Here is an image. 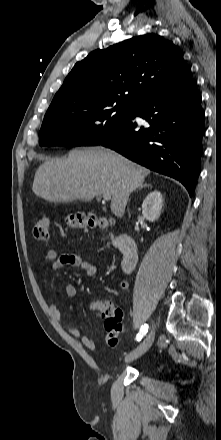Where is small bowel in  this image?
<instances>
[{
    "label": "small bowel",
    "mask_w": 221,
    "mask_h": 440,
    "mask_svg": "<svg viewBox=\"0 0 221 440\" xmlns=\"http://www.w3.org/2000/svg\"><path fill=\"white\" fill-rule=\"evenodd\" d=\"M42 261L49 263L52 269H60L67 266L80 268L85 275L89 277L94 276L97 271L96 265L92 261L86 260L77 254L58 255L54 249H48L43 255ZM121 287L126 288L127 283L125 281L121 282ZM64 292L67 297L74 298L77 295V288L74 284L67 283L64 287ZM72 308L73 307L71 306L70 309L72 310ZM48 309L56 321H62V313L55 304H49ZM68 331L72 337L80 338L82 344L86 348L90 350H95L97 348L96 342L90 337L82 335L79 328L70 327Z\"/></svg>",
    "instance_id": "1"
}]
</instances>
